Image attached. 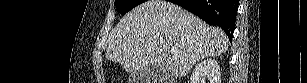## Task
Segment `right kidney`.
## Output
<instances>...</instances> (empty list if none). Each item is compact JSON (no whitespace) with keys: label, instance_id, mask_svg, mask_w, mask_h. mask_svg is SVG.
I'll return each mask as SVG.
<instances>
[{"label":"right kidney","instance_id":"right-kidney-1","mask_svg":"<svg viewBox=\"0 0 307 83\" xmlns=\"http://www.w3.org/2000/svg\"><path fill=\"white\" fill-rule=\"evenodd\" d=\"M221 83V72L218 62L209 58L198 63L190 77V83Z\"/></svg>","mask_w":307,"mask_h":83}]
</instances>
